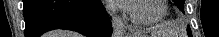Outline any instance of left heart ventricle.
<instances>
[{"instance_id": "b2bd125f", "label": "left heart ventricle", "mask_w": 219, "mask_h": 37, "mask_svg": "<svg viewBox=\"0 0 219 37\" xmlns=\"http://www.w3.org/2000/svg\"><path fill=\"white\" fill-rule=\"evenodd\" d=\"M131 10L138 18L149 19L159 14L161 5L159 0H141L133 2Z\"/></svg>"}]
</instances>
